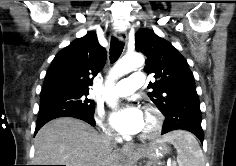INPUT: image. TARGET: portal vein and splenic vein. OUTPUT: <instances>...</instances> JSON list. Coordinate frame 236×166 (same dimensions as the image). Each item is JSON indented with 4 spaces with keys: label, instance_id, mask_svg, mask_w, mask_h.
<instances>
[{
    "label": "portal vein and splenic vein",
    "instance_id": "obj_1",
    "mask_svg": "<svg viewBox=\"0 0 236 166\" xmlns=\"http://www.w3.org/2000/svg\"><path fill=\"white\" fill-rule=\"evenodd\" d=\"M170 166H176V163H175V162H172Z\"/></svg>",
    "mask_w": 236,
    "mask_h": 166
}]
</instances>
